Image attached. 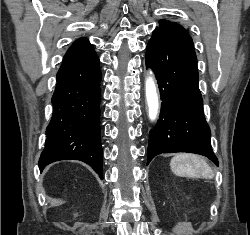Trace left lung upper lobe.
Wrapping results in <instances>:
<instances>
[{"label": "left lung upper lobe", "mask_w": 250, "mask_h": 235, "mask_svg": "<svg viewBox=\"0 0 250 235\" xmlns=\"http://www.w3.org/2000/svg\"><path fill=\"white\" fill-rule=\"evenodd\" d=\"M160 26L157 27L155 31H161V32H175L178 34H188V31L179 23L166 21L165 19H162L159 21Z\"/></svg>", "instance_id": "1"}]
</instances>
